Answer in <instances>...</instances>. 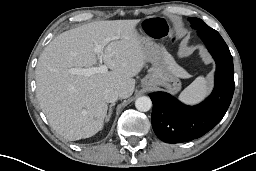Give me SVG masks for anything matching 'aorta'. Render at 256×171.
<instances>
[{
	"instance_id": "1",
	"label": "aorta",
	"mask_w": 256,
	"mask_h": 171,
	"mask_svg": "<svg viewBox=\"0 0 256 171\" xmlns=\"http://www.w3.org/2000/svg\"><path fill=\"white\" fill-rule=\"evenodd\" d=\"M135 107H136L137 110H139L141 112H147L152 107V101L147 96H141V97L136 99Z\"/></svg>"
}]
</instances>
